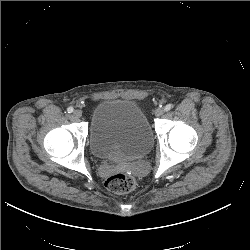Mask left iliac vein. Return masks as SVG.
I'll return each instance as SVG.
<instances>
[{
	"instance_id": "obj_1",
	"label": "left iliac vein",
	"mask_w": 250,
	"mask_h": 250,
	"mask_svg": "<svg viewBox=\"0 0 250 250\" xmlns=\"http://www.w3.org/2000/svg\"><path fill=\"white\" fill-rule=\"evenodd\" d=\"M163 113H164V109L163 108H157L155 110V116L156 117H160Z\"/></svg>"
}]
</instances>
